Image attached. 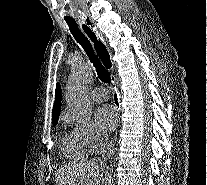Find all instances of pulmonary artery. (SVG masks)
<instances>
[{"instance_id": "obj_1", "label": "pulmonary artery", "mask_w": 207, "mask_h": 185, "mask_svg": "<svg viewBox=\"0 0 207 185\" xmlns=\"http://www.w3.org/2000/svg\"><path fill=\"white\" fill-rule=\"evenodd\" d=\"M102 88L103 87H97L92 91L91 95L94 100L102 102L108 99L109 91Z\"/></svg>"}]
</instances>
